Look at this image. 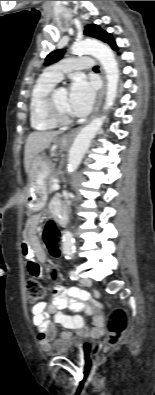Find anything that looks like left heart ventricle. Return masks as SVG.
Returning <instances> with one entry per match:
<instances>
[{
    "mask_svg": "<svg viewBox=\"0 0 155 395\" xmlns=\"http://www.w3.org/2000/svg\"><path fill=\"white\" fill-rule=\"evenodd\" d=\"M68 91L66 89H60L56 94V104L59 111L66 115L70 116L69 108H68Z\"/></svg>",
    "mask_w": 155,
    "mask_h": 395,
    "instance_id": "1",
    "label": "left heart ventricle"
}]
</instances>
